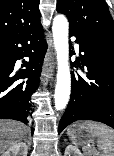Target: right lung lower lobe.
<instances>
[{"label":"right lung lower lobe","mask_w":114,"mask_h":156,"mask_svg":"<svg viewBox=\"0 0 114 156\" xmlns=\"http://www.w3.org/2000/svg\"><path fill=\"white\" fill-rule=\"evenodd\" d=\"M46 51L47 43L40 23L0 40V119L30 123V99L38 87ZM23 56L29 57V61H24V70L16 71L15 62ZM25 78L28 79L21 81Z\"/></svg>","instance_id":"1"}]
</instances>
